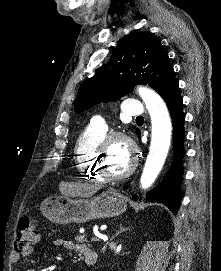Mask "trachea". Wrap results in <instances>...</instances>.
Returning <instances> with one entry per match:
<instances>
[{
	"instance_id": "1",
	"label": "trachea",
	"mask_w": 221,
	"mask_h": 271,
	"mask_svg": "<svg viewBox=\"0 0 221 271\" xmlns=\"http://www.w3.org/2000/svg\"><path fill=\"white\" fill-rule=\"evenodd\" d=\"M137 119H143V116H137Z\"/></svg>"
}]
</instances>
